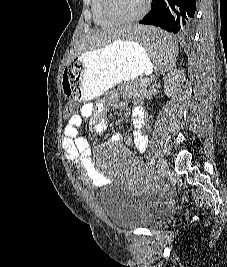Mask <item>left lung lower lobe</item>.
Here are the masks:
<instances>
[{"mask_svg":"<svg viewBox=\"0 0 227 267\" xmlns=\"http://www.w3.org/2000/svg\"><path fill=\"white\" fill-rule=\"evenodd\" d=\"M195 11L196 0H153L151 10L139 23L158 26L186 39L193 30ZM153 43L160 45L162 39Z\"/></svg>","mask_w":227,"mask_h":267,"instance_id":"0a47b994","label":"left lung lower lobe"}]
</instances>
